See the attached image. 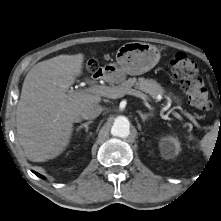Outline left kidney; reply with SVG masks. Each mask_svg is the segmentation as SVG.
<instances>
[{"mask_svg": "<svg viewBox=\"0 0 221 221\" xmlns=\"http://www.w3.org/2000/svg\"><path fill=\"white\" fill-rule=\"evenodd\" d=\"M160 151L163 157L172 158L177 156L181 150L180 142L176 137H163L159 143Z\"/></svg>", "mask_w": 221, "mask_h": 221, "instance_id": "left-kidney-1", "label": "left kidney"}]
</instances>
